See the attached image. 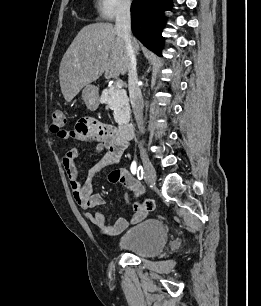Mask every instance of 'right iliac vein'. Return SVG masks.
<instances>
[{
	"mask_svg": "<svg viewBox=\"0 0 261 306\" xmlns=\"http://www.w3.org/2000/svg\"><path fill=\"white\" fill-rule=\"evenodd\" d=\"M140 155L144 165L147 180L149 181V183L155 184L156 172L143 147H140Z\"/></svg>",
	"mask_w": 261,
	"mask_h": 306,
	"instance_id": "right-iliac-vein-1",
	"label": "right iliac vein"
}]
</instances>
